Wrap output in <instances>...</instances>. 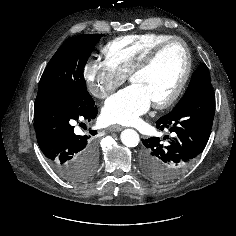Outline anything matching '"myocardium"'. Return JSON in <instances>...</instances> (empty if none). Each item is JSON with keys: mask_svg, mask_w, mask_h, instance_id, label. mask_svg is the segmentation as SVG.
<instances>
[{"mask_svg": "<svg viewBox=\"0 0 236 236\" xmlns=\"http://www.w3.org/2000/svg\"><path fill=\"white\" fill-rule=\"evenodd\" d=\"M174 43L180 44L183 48L184 55H185L184 72L179 82L173 89V91L166 98L153 102V106L157 109H164L171 106L179 98V96L181 95L182 91L184 90L189 80L191 70H192V58H191L190 50L187 43L182 38H179V37H171L169 39H166L160 42L155 47H153L148 52V54L132 68V70L129 72V75H128L129 80H131L133 76L147 70L149 67L152 66V64L155 62L158 56L162 53V51L166 47Z\"/></svg>", "mask_w": 236, "mask_h": 236, "instance_id": "1", "label": "myocardium"}]
</instances>
